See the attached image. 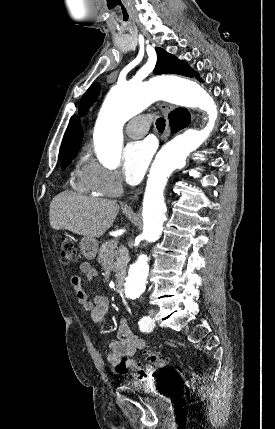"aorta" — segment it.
<instances>
[{
	"instance_id": "obj_1",
	"label": "aorta",
	"mask_w": 275,
	"mask_h": 429,
	"mask_svg": "<svg viewBox=\"0 0 275 429\" xmlns=\"http://www.w3.org/2000/svg\"><path fill=\"white\" fill-rule=\"evenodd\" d=\"M199 108L208 114L207 126L202 130L188 129L169 141L159 152L152 167L143 199L142 239L154 242L162 234L166 221L164 189L169 176L185 165L187 156L209 136L217 119L213 97L198 83L183 78H160L147 83L128 82L115 85L108 93L94 130L95 152L108 168L119 164L124 123L157 100ZM149 274L146 255H140L128 272L123 293L127 298L139 296L145 290Z\"/></svg>"
}]
</instances>
